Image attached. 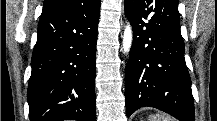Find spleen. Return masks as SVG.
Returning <instances> with one entry per match:
<instances>
[{"instance_id": "3e777b00", "label": "spleen", "mask_w": 217, "mask_h": 121, "mask_svg": "<svg viewBox=\"0 0 217 121\" xmlns=\"http://www.w3.org/2000/svg\"><path fill=\"white\" fill-rule=\"evenodd\" d=\"M149 121H173L171 117L162 116V115H152L149 118Z\"/></svg>"}]
</instances>
